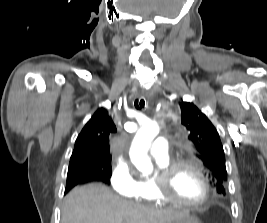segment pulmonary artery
Listing matches in <instances>:
<instances>
[{"label":"pulmonary artery","mask_w":267,"mask_h":223,"mask_svg":"<svg viewBox=\"0 0 267 223\" xmlns=\"http://www.w3.org/2000/svg\"><path fill=\"white\" fill-rule=\"evenodd\" d=\"M149 154L160 160H167L169 157V143L165 138H157L149 149Z\"/></svg>","instance_id":"1"}]
</instances>
